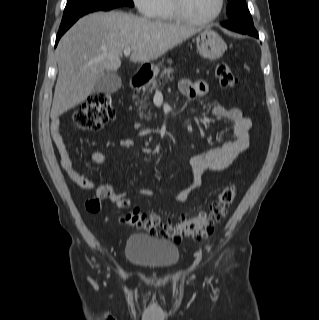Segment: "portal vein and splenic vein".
I'll list each match as a JSON object with an SVG mask.
<instances>
[{
  "mask_svg": "<svg viewBox=\"0 0 319 320\" xmlns=\"http://www.w3.org/2000/svg\"><path fill=\"white\" fill-rule=\"evenodd\" d=\"M132 49H133V48H130V47H129V48H126V49H124V51H123L124 55H125V56H129V55H130V53H131V51H132Z\"/></svg>",
  "mask_w": 319,
  "mask_h": 320,
  "instance_id": "1",
  "label": "portal vein and splenic vein"
}]
</instances>
